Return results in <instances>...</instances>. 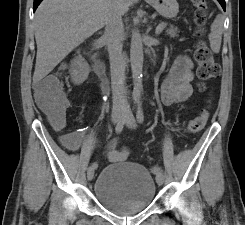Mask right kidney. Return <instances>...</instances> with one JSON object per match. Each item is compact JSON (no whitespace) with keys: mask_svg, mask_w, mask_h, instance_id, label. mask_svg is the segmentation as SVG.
I'll list each match as a JSON object with an SVG mask.
<instances>
[{"mask_svg":"<svg viewBox=\"0 0 245 225\" xmlns=\"http://www.w3.org/2000/svg\"><path fill=\"white\" fill-rule=\"evenodd\" d=\"M89 72V64L80 54L71 61L70 73L72 82L75 85L82 84L88 78Z\"/></svg>","mask_w":245,"mask_h":225,"instance_id":"1","label":"right kidney"}]
</instances>
